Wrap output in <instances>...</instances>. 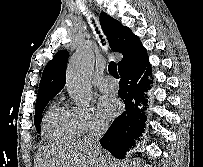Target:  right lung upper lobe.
<instances>
[{"instance_id":"cb5924a9","label":"right lung upper lobe","mask_w":203,"mask_h":167,"mask_svg":"<svg viewBox=\"0 0 203 167\" xmlns=\"http://www.w3.org/2000/svg\"><path fill=\"white\" fill-rule=\"evenodd\" d=\"M100 24L109 41L110 48L114 52L123 54V59L118 63L119 72L137 65L148 57L139 38L128 27L123 26L105 12L100 14ZM68 57L69 53L62 50L47 63L40 80L36 103L53 98L63 89Z\"/></svg>"}]
</instances>
